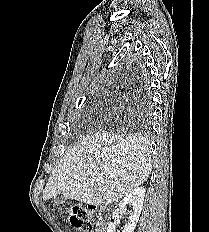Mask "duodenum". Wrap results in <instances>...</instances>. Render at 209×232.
I'll return each mask as SVG.
<instances>
[{"label": "duodenum", "instance_id": "1", "mask_svg": "<svg viewBox=\"0 0 209 232\" xmlns=\"http://www.w3.org/2000/svg\"><path fill=\"white\" fill-rule=\"evenodd\" d=\"M98 230H101V232H104L105 231V225H101L100 228ZM97 230V231H98Z\"/></svg>", "mask_w": 209, "mask_h": 232}]
</instances>
